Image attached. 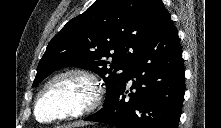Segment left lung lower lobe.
I'll use <instances>...</instances> for the list:
<instances>
[{
  "mask_svg": "<svg viewBox=\"0 0 221 128\" xmlns=\"http://www.w3.org/2000/svg\"><path fill=\"white\" fill-rule=\"evenodd\" d=\"M184 93L182 49L169 15L132 59L123 87L85 120L117 128H178Z\"/></svg>",
  "mask_w": 221,
  "mask_h": 128,
  "instance_id": "left-lung-lower-lobe-1",
  "label": "left lung lower lobe"
}]
</instances>
